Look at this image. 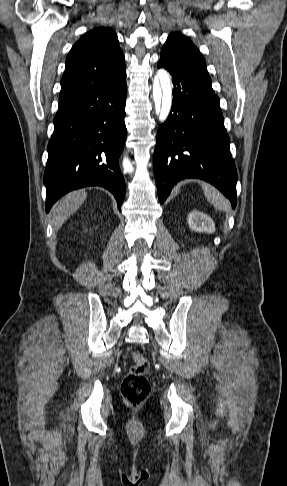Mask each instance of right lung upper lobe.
Segmentation results:
<instances>
[{
  "instance_id": "1",
  "label": "right lung upper lobe",
  "mask_w": 287,
  "mask_h": 486,
  "mask_svg": "<svg viewBox=\"0 0 287 486\" xmlns=\"http://www.w3.org/2000/svg\"><path fill=\"white\" fill-rule=\"evenodd\" d=\"M124 78V54L116 33L108 27L95 28L84 34L67 56L59 105Z\"/></svg>"
}]
</instances>
